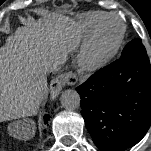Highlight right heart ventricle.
<instances>
[{"mask_svg": "<svg viewBox=\"0 0 151 151\" xmlns=\"http://www.w3.org/2000/svg\"><path fill=\"white\" fill-rule=\"evenodd\" d=\"M106 14L107 13L101 11H91L85 13L81 18L83 27L87 32H91L95 25L98 23V21Z\"/></svg>", "mask_w": 151, "mask_h": 151, "instance_id": "e07e8e85", "label": "right heart ventricle"}]
</instances>
